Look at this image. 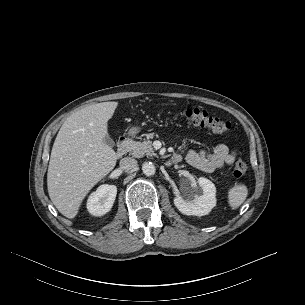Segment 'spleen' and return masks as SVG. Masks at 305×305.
Listing matches in <instances>:
<instances>
[{"label": "spleen", "instance_id": "1", "mask_svg": "<svg viewBox=\"0 0 305 305\" xmlns=\"http://www.w3.org/2000/svg\"><path fill=\"white\" fill-rule=\"evenodd\" d=\"M248 190L244 184H236L228 192L229 206L235 210L246 200Z\"/></svg>", "mask_w": 305, "mask_h": 305}]
</instances>
